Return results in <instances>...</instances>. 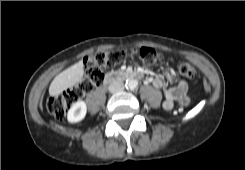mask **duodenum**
I'll return each mask as SVG.
<instances>
[{
  "instance_id": "duodenum-1",
  "label": "duodenum",
  "mask_w": 245,
  "mask_h": 170,
  "mask_svg": "<svg viewBox=\"0 0 245 170\" xmlns=\"http://www.w3.org/2000/svg\"><path fill=\"white\" fill-rule=\"evenodd\" d=\"M128 78H134V79H140L141 78V73L136 72V71H131V72H123V71H115V72H110L105 75L104 77V83L109 84L112 82H116L122 79H128Z\"/></svg>"
}]
</instances>
